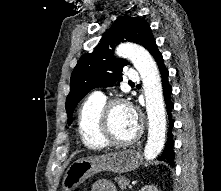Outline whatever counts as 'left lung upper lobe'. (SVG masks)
Wrapping results in <instances>:
<instances>
[{
  "instance_id": "5c2ea615",
  "label": "left lung upper lobe",
  "mask_w": 221,
  "mask_h": 191,
  "mask_svg": "<svg viewBox=\"0 0 221 191\" xmlns=\"http://www.w3.org/2000/svg\"><path fill=\"white\" fill-rule=\"evenodd\" d=\"M154 40L150 25L143 19L119 17L103 40L88 54H84L75 66L70 81V93L66 99L68 124H71L75 107L92 89L110 87L121 79L127 60L116 58L113 50L120 42H133L148 49Z\"/></svg>"
}]
</instances>
